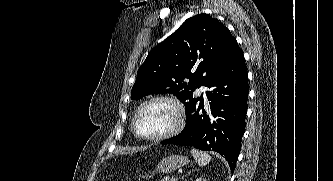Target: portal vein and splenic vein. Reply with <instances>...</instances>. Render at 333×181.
<instances>
[{
  "instance_id": "18ae733b",
  "label": "portal vein and splenic vein",
  "mask_w": 333,
  "mask_h": 181,
  "mask_svg": "<svg viewBox=\"0 0 333 181\" xmlns=\"http://www.w3.org/2000/svg\"><path fill=\"white\" fill-rule=\"evenodd\" d=\"M171 181H177L175 177L171 178Z\"/></svg>"
}]
</instances>
